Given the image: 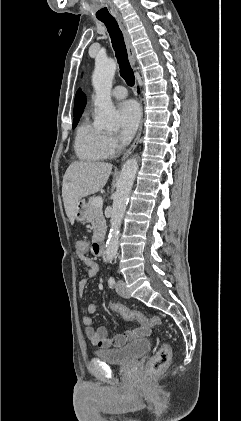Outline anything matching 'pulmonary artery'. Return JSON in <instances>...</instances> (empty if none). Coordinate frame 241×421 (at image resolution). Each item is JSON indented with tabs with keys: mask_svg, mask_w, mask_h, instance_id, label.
I'll return each mask as SVG.
<instances>
[{
	"mask_svg": "<svg viewBox=\"0 0 241 421\" xmlns=\"http://www.w3.org/2000/svg\"><path fill=\"white\" fill-rule=\"evenodd\" d=\"M111 96L115 99H123L127 96V90L123 86H116L112 92Z\"/></svg>",
	"mask_w": 241,
	"mask_h": 421,
	"instance_id": "pulmonary-artery-1",
	"label": "pulmonary artery"
}]
</instances>
